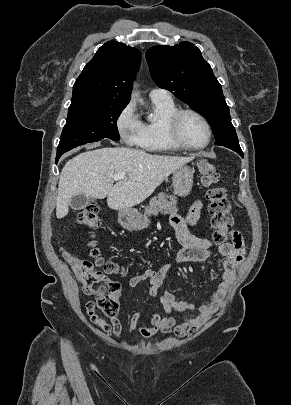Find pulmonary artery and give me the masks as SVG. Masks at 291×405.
Returning a JSON list of instances; mask_svg holds the SVG:
<instances>
[{"label":"pulmonary artery","instance_id":"obj_1","mask_svg":"<svg viewBox=\"0 0 291 405\" xmlns=\"http://www.w3.org/2000/svg\"><path fill=\"white\" fill-rule=\"evenodd\" d=\"M150 98L152 100H170L171 94L162 88H154L150 91Z\"/></svg>","mask_w":291,"mask_h":405}]
</instances>
